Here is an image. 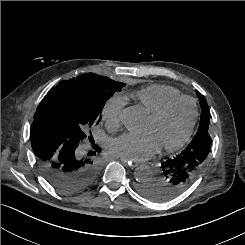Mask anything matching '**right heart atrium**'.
Instances as JSON below:
<instances>
[{"mask_svg": "<svg viewBox=\"0 0 245 245\" xmlns=\"http://www.w3.org/2000/svg\"><path fill=\"white\" fill-rule=\"evenodd\" d=\"M125 103V98L120 95H114L105 102L102 118L110 129L115 130L120 126L121 112Z\"/></svg>", "mask_w": 245, "mask_h": 245, "instance_id": "obj_1", "label": "right heart atrium"}]
</instances>
